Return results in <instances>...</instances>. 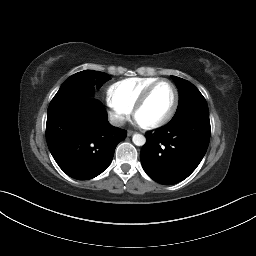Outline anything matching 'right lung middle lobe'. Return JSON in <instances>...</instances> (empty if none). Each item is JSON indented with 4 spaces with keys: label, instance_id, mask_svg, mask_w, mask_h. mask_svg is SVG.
Listing matches in <instances>:
<instances>
[{
    "label": "right lung middle lobe",
    "instance_id": "dd1d6c3e",
    "mask_svg": "<svg viewBox=\"0 0 256 256\" xmlns=\"http://www.w3.org/2000/svg\"><path fill=\"white\" fill-rule=\"evenodd\" d=\"M110 76L103 72L85 70L70 76L60 87L49 106L57 103L80 99L88 89L100 88Z\"/></svg>",
    "mask_w": 256,
    "mask_h": 256
}]
</instances>
